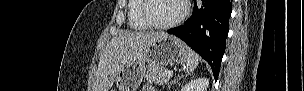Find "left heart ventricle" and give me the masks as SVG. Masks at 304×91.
<instances>
[{"label": "left heart ventricle", "instance_id": "1", "mask_svg": "<svg viewBox=\"0 0 304 91\" xmlns=\"http://www.w3.org/2000/svg\"><path fill=\"white\" fill-rule=\"evenodd\" d=\"M182 12L180 0H151L149 15L159 24L169 23Z\"/></svg>", "mask_w": 304, "mask_h": 91}]
</instances>
